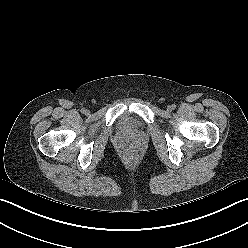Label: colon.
Masks as SVG:
<instances>
[{"label":"colon","instance_id":"5ec220e1","mask_svg":"<svg viewBox=\"0 0 248 248\" xmlns=\"http://www.w3.org/2000/svg\"><path fill=\"white\" fill-rule=\"evenodd\" d=\"M124 159L128 163H134L137 160V156L133 151H126L124 153Z\"/></svg>","mask_w":248,"mask_h":248}]
</instances>
